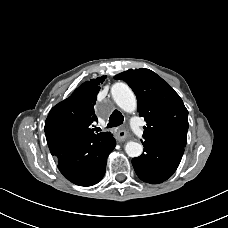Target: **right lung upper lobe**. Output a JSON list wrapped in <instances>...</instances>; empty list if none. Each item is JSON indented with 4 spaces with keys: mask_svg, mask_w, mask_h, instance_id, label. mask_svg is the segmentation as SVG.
<instances>
[{
    "mask_svg": "<svg viewBox=\"0 0 228 228\" xmlns=\"http://www.w3.org/2000/svg\"><path fill=\"white\" fill-rule=\"evenodd\" d=\"M106 76L83 83L73 94L54 106L45 122L48 146L64 143L80 136L101 137L110 132L94 133L92 123L97 121L94 111L97 94Z\"/></svg>",
    "mask_w": 228,
    "mask_h": 228,
    "instance_id": "cb5924a9",
    "label": "right lung upper lobe"
}]
</instances>
